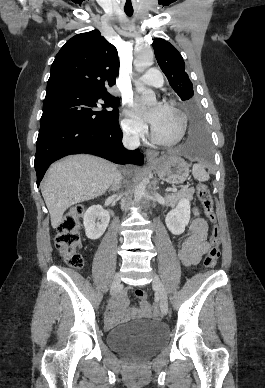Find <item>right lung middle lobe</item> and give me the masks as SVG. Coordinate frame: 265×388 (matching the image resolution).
Returning a JSON list of instances; mask_svg holds the SVG:
<instances>
[{"label": "right lung middle lobe", "instance_id": "obj_1", "mask_svg": "<svg viewBox=\"0 0 265 388\" xmlns=\"http://www.w3.org/2000/svg\"><path fill=\"white\" fill-rule=\"evenodd\" d=\"M119 99L106 90L94 92H60L44 100L40 127L63 121L91 122L108 126L118 121Z\"/></svg>", "mask_w": 265, "mask_h": 388}]
</instances>
